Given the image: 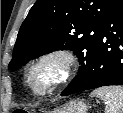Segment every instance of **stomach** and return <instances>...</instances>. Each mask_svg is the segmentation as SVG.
<instances>
[{
	"label": "stomach",
	"mask_w": 123,
	"mask_h": 113,
	"mask_svg": "<svg viewBox=\"0 0 123 113\" xmlns=\"http://www.w3.org/2000/svg\"><path fill=\"white\" fill-rule=\"evenodd\" d=\"M88 108L89 106L84 100L75 99L55 109L52 113H87Z\"/></svg>",
	"instance_id": "obj_1"
}]
</instances>
